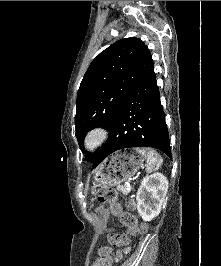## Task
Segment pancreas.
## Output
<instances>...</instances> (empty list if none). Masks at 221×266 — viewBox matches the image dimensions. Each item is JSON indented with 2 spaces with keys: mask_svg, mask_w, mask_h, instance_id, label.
Masks as SVG:
<instances>
[{
  "mask_svg": "<svg viewBox=\"0 0 221 266\" xmlns=\"http://www.w3.org/2000/svg\"><path fill=\"white\" fill-rule=\"evenodd\" d=\"M117 190L123 194H127L131 191V187L129 188L127 185H118Z\"/></svg>",
  "mask_w": 221,
  "mask_h": 266,
  "instance_id": "pancreas-1",
  "label": "pancreas"
}]
</instances>
